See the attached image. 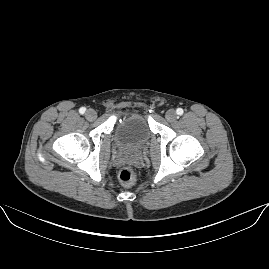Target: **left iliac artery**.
Wrapping results in <instances>:
<instances>
[{
	"mask_svg": "<svg viewBox=\"0 0 269 269\" xmlns=\"http://www.w3.org/2000/svg\"><path fill=\"white\" fill-rule=\"evenodd\" d=\"M176 113H177L178 115H182V114H183V109H182V108H178V109L176 110Z\"/></svg>",
	"mask_w": 269,
	"mask_h": 269,
	"instance_id": "1",
	"label": "left iliac artery"
}]
</instances>
